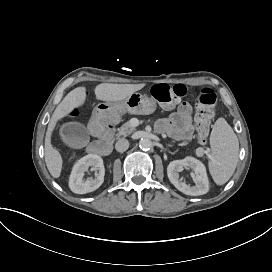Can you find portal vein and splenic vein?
Returning <instances> with one entry per match:
<instances>
[{
  "mask_svg": "<svg viewBox=\"0 0 272 272\" xmlns=\"http://www.w3.org/2000/svg\"><path fill=\"white\" fill-rule=\"evenodd\" d=\"M132 123H133V125H134L135 127H138V126H140L141 124H143L144 122H143L142 120H138V119H136V118H133V119H132Z\"/></svg>",
  "mask_w": 272,
  "mask_h": 272,
  "instance_id": "portal-vein-and-splenic-vein-1",
  "label": "portal vein and splenic vein"
}]
</instances>
